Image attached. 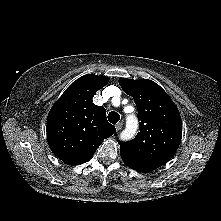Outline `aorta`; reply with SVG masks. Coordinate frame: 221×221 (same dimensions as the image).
I'll return each instance as SVG.
<instances>
[{"instance_id":"aorta-1","label":"aorta","mask_w":221,"mask_h":221,"mask_svg":"<svg viewBox=\"0 0 221 221\" xmlns=\"http://www.w3.org/2000/svg\"><path fill=\"white\" fill-rule=\"evenodd\" d=\"M138 128V120L135 116L131 115L127 117L126 129L121 133L122 140H130L136 133Z\"/></svg>"}]
</instances>
